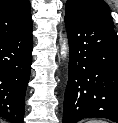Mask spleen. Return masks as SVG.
<instances>
[{
    "instance_id": "obj_1",
    "label": "spleen",
    "mask_w": 118,
    "mask_h": 123,
    "mask_svg": "<svg viewBox=\"0 0 118 123\" xmlns=\"http://www.w3.org/2000/svg\"><path fill=\"white\" fill-rule=\"evenodd\" d=\"M86 123H106L105 121H102V120H90Z\"/></svg>"
}]
</instances>
